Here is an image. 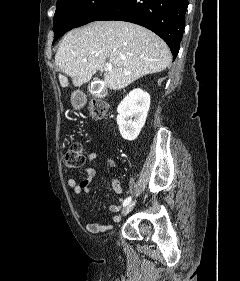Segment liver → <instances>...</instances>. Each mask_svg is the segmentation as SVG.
I'll return each instance as SVG.
<instances>
[{"mask_svg": "<svg viewBox=\"0 0 240 281\" xmlns=\"http://www.w3.org/2000/svg\"><path fill=\"white\" fill-rule=\"evenodd\" d=\"M86 60V61H84ZM172 61L167 44L152 31L123 21H96L68 32L55 55L61 87H75L104 72V83L120 90L135 80L166 69ZM113 65L112 71L106 65Z\"/></svg>", "mask_w": 240, "mask_h": 281, "instance_id": "obj_1", "label": "liver"}]
</instances>
